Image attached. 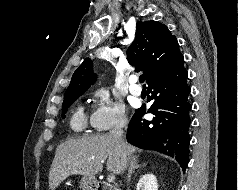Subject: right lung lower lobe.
Returning <instances> with one entry per match:
<instances>
[{"instance_id": "obj_1", "label": "right lung lower lobe", "mask_w": 238, "mask_h": 190, "mask_svg": "<svg viewBox=\"0 0 238 190\" xmlns=\"http://www.w3.org/2000/svg\"><path fill=\"white\" fill-rule=\"evenodd\" d=\"M182 59L171 70L148 83L154 102L148 113L155 117L142 119L145 106L137 109L127 131V141L142 149L156 150L174 157L183 170L189 162L190 88Z\"/></svg>"}]
</instances>
